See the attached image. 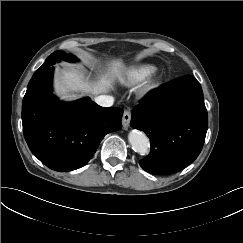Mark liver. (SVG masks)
<instances>
[{
  "mask_svg": "<svg viewBox=\"0 0 243 243\" xmlns=\"http://www.w3.org/2000/svg\"><path fill=\"white\" fill-rule=\"evenodd\" d=\"M124 71L125 65L121 60H112L107 70L95 80H90L83 71L63 69L56 74L54 89L63 99H75L86 94L97 96L111 90Z\"/></svg>",
  "mask_w": 243,
  "mask_h": 243,
  "instance_id": "obj_1",
  "label": "liver"
}]
</instances>
